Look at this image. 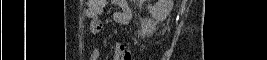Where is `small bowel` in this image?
Listing matches in <instances>:
<instances>
[{
    "label": "small bowel",
    "mask_w": 267,
    "mask_h": 60,
    "mask_svg": "<svg viewBox=\"0 0 267 60\" xmlns=\"http://www.w3.org/2000/svg\"><path fill=\"white\" fill-rule=\"evenodd\" d=\"M113 2L120 8V11L115 12L113 14L114 21L117 24L122 25V26L129 25L132 19V12L127 1L114 0ZM105 4H106V1L97 12H93L92 4L88 1L87 16L90 19L89 31L92 35H99L103 32V22L100 18V15L103 11ZM100 57H101L100 48L98 47L94 48L90 54V59L99 60ZM113 59L114 60H131L132 55L129 51L125 49V46L123 43L117 42L114 46Z\"/></svg>",
    "instance_id": "1"
}]
</instances>
